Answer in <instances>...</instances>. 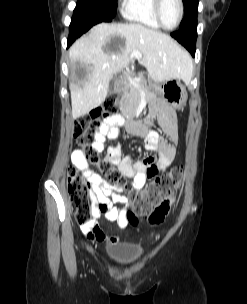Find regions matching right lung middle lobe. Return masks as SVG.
<instances>
[{"label":"right lung middle lobe","instance_id":"obj_1","mask_svg":"<svg viewBox=\"0 0 247 304\" xmlns=\"http://www.w3.org/2000/svg\"><path fill=\"white\" fill-rule=\"evenodd\" d=\"M117 0H78L74 14L114 18Z\"/></svg>","mask_w":247,"mask_h":304}]
</instances>
